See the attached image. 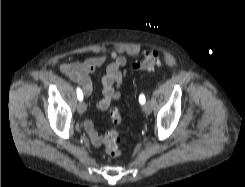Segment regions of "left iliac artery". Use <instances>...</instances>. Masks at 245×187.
<instances>
[{"mask_svg":"<svg viewBox=\"0 0 245 187\" xmlns=\"http://www.w3.org/2000/svg\"><path fill=\"white\" fill-rule=\"evenodd\" d=\"M145 101H146L145 96H144L143 94H141V95L139 96V102H140L141 104H144Z\"/></svg>","mask_w":245,"mask_h":187,"instance_id":"obj_1","label":"left iliac artery"}]
</instances>
